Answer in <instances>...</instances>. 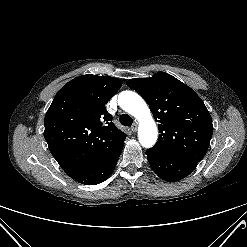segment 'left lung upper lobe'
Returning <instances> with one entry per match:
<instances>
[{"label": "left lung upper lobe", "mask_w": 247, "mask_h": 247, "mask_svg": "<svg viewBox=\"0 0 247 247\" xmlns=\"http://www.w3.org/2000/svg\"><path fill=\"white\" fill-rule=\"evenodd\" d=\"M149 104L159 122L154 145L170 155L200 162L213 133L212 119L201 98L190 87L165 72L127 81Z\"/></svg>", "instance_id": "obj_1"}]
</instances>
